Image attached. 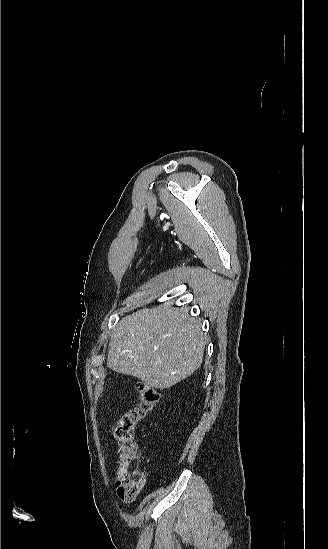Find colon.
Segmentation results:
<instances>
[{
  "instance_id": "obj_1",
  "label": "colon",
  "mask_w": 328,
  "mask_h": 549,
  "mask_svg": "<svg viewBox=\"0 0 328 549\" xmlns=\"http://www.w3.org/2000/svg\"><path fill=\"white\" fill-rule=\"evenodd\" d=\"M136 389L140 396V404L123 414L115 429V438L120 447L117 495L125 502L134 501L145 484V475L140 468L138 448L134 440L135 428L157 405L160 398L159 392L146 383H138Z\"/></svg>"
}]
</instances>
